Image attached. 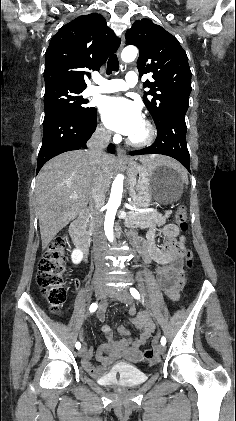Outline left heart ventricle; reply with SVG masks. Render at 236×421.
<instances>
[{"label":"left heart ventricle","instance_id":"obj_1","mask_svg":"<svg viewBox=\"0 0 236 421\" xmlns=\"http://www.w3.org/2000/svg\"><path fill=\"white\" fill-rule=\"evenodd\" d=\"M146 134V127L144 123L131 135L134 139H142Z\"/></svg>","mask_w":236,"mask_h":421}]
</instances>
